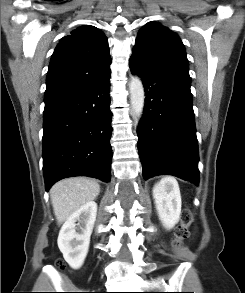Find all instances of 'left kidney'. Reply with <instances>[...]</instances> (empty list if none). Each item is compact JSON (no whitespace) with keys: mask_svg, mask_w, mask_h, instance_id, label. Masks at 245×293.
<instances>
[{"mask_svg":"<svg viewBox=\"0 0 245 293\" xmlns=\"http://www.w3.org/2000/svg\"><path fill=\"white\" fill-rule=\"evenodd\" d=\"M153 198L163 226L172 229L179 222L181 214L178 182L172 177L161 179L153 188Z\"/></svg>","mask_w":245,"mask_h":293,"instance_id":"left-kidney-1","label":"left kidney"}]
</instances>
